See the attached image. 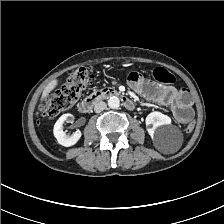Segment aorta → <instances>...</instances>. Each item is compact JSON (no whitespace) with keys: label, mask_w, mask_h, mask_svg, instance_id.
<instances>
[{"label":"aorta","mask_w":224,"mask_h":224,"mask_svg":"<svg viewBox=\"0 0 224 224\" xmlns=\"http://www.w3.org/2000/svg\"><path fill=\"white\" fill-rule=\"evenodd\" d=\"M108 106L112 109H117L120 106V100L115 96L110 97L108 100Z\"/></svg>","instance_id":"1"}]
</instances>
